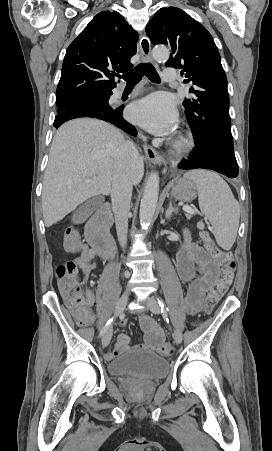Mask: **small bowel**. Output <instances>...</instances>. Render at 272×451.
<instances>
[{"mask_svg":"<svg viewBox=\"0 0 272 451\" xmlns=\"http://www.w3.org/2000/svg\"><path fill=\"white\" fill-rule=\"evenodd\" d=\"M79 261H90L92 268L82 270L86 279L91 272L97 268L96 257L98 253L90 245L83 243L82 249H78ZM215 257L206 248L191 242L188 231L184 232V240L178 248L175 256V268L180 280L185 286L184 307L194 314L200 307V299L208 290L207 270L215 261ZM93 297V295H92ZM141 327L145 331V342L138 346L139 349H155L164 340L161 329L149 318H141ZM130 349L129 337L119 334L116 339L115 348L105 353L107 360H112L119 354Z\"/></svg>","mask_w":272,"mask_h":451,"instance_id":"obj_1","label":"small bowel"}]
</instances>
